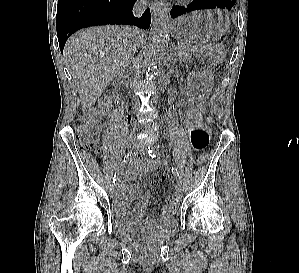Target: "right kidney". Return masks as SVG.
Here are the masks:
<instances>
[{"label":"right kidney","mask_w":299,"mask_h":273,"mask_svg":"<svg viewBox=\"0 0 299 273\" xmlns=\"http://www.w3.org/2000/svg\"><path fill=\"white\" fill-rule=\"evenodd\" d=\"M108 106H109V101H105V100H102V99L99 101V108L105 109Z\"/></svg>","instance_id":"ca27d5eb"}]
</instances>
